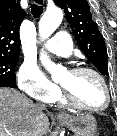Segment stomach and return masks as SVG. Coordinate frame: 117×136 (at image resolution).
I'll list each match as a JSON object with an SVG mask.
<instances>
[{"instance_id": "stomach-1", "label": "stomach", "mask_w": 117, "mask_h": 136, "mask_svg": "<svg viewBox=\"0 0 117 136\" xmlns=\"http://www.w3.org/2000/svg\"><path fill=\"white\" fill-rule=\"evenodd\" d=\"M76 136H94L97 129V122L92 115L77 114L60 119Z\"/></svg>"}]
</instances>
